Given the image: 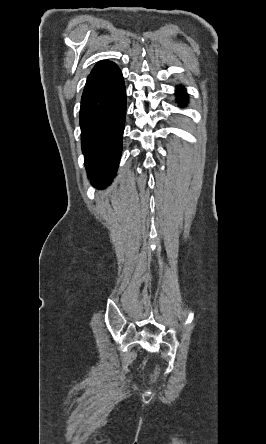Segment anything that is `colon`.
Returning a JSON list of instances; mask_svg holds the SVG:
<instances>
[{"instance_id": "colon-1", "label": "colon", "mask_w": 266, "mask_h": 444, "mask_svg": "<svg viewBox=\"0 0 266 444\" xmlns=\"http://www.w3.org/2000/svg\"><path fill=\"white\" fill-rule=\"evenodd\" d=\"M157 374H158V371H156L155 375H157Z\"/></svg>"}]
</instances>
